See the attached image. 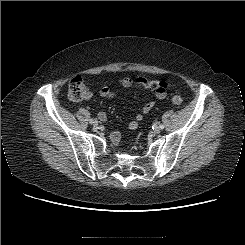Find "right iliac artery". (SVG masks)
<instances>
[{
    "label": "right iliac artery",
    "mask_w": 245,
    "mask_h": 245,
    "mask_svg": "<svg viewBox=\"0 0 245 245\" xmlns=\"http://www.w3.org/2000/svg\"><path fill=\"white\" fill-rule=\"evenodd\" d=\"M89 121H90L91 124L96 122V120H94V119H90Z\"/></svg>",
    "instance_id": "82829eb1"
}]
</instances>
